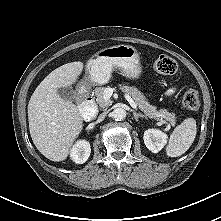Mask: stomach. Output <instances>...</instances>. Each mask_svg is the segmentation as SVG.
Returning a JSON list of instances; mask_svg holds the SVG:
<instances>
[{
    "instance_id": "0dacf381",
    "label": "stomach",
    "mask_w": 221,
    "mask_h": 221,
    "mask_svg": "<svg viewBox=\"0 0 221 221\" xmlns=\"http://www.w3.org/2000/svg\"><path fill=\"white\" fill-rule=\"evenodd\" d=\"M114 69H119L127 78L138 79L142 67L137 50L124 44L99 50L87 62L86 80L94 85L105 84Z\"/></svg>"
}]
</instances>
